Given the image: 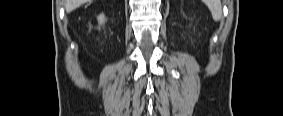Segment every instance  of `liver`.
<instances>
[{
    "label": "liver",
    "instance_id": "6515ba94",
    "mask_svg": "<svg viewBox=\"0 0 283 116\" xmlns=\"http://www.w3.org/2000/svg\"><path fill=\"white\" fill-rule=\"evenodd\" d=\"M86 2H89V0H64L65 10L67 13H70Z\"/></svg>",
    "mask_w": 283,
    "mask_h": 116
}]
</instances>
